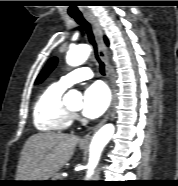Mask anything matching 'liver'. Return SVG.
<instances>
[{
	"mask_svg": "<svg viewBox=\"0 0 178 186\" xmlns=\"http://www.w3.org/2000/svg\"><path fill=\"white\" fill-rule=\"evenodd\" d=\"M79 137L64 133H37L26 141L19 160L18 181H45L72 157Z\"/></svg>",
	"mask_w": 178,
	"mask_h": 186,
	"instance_id": "liver-1",
	"label": "liver"
}]
</instances>
